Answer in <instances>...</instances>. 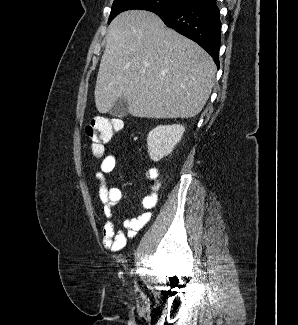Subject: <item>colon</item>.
I'll return each mask as SVG.
<instances>
[{"label": "colon", "instance_id": "obj_1", "mask_svg": "<svg viewBox=\"0 0 298 325\" xmlns=\"http://www.w3.org/2000/svg\"><path fill=\"white\" fill-rule=\"evenodd\" d=\"M122 127V121L117 118L97 116L86 127V134L90 141V147L95 155H100L103 145L107 143L115 132Z\"/></svg>", "mask_w": 298, "mask_h": 325}]
</instances>
